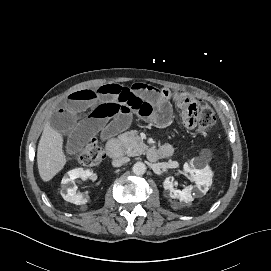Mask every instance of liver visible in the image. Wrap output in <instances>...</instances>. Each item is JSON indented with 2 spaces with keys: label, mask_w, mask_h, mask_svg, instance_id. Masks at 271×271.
<instances>
[{
  "label": "liver",
  "mask_w": 271,
  "mask_h": 271,
  "mask_svg": "<svg viewBox=\"0 0 271 271\" xmlns=\"http://www.w3.org/2000/svg\"><path fill=\"white\" fill-rule=\"evenodd\" d=\"M67 162L63 151V136L48 121L38 144L37 164L43 181L51 180Z\"/></svg>",
  "instance_id": "6515ba94"
}]
</instances>
